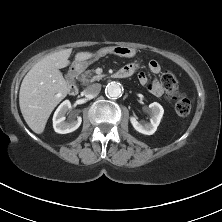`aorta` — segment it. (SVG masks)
<instances>
[{"label": "aorta", "mask_w": 222, "mask_h": 222, "mask_svg": "<svg viewBox=\"0 0 222 222\" xmlns=\"http://www.w3.org/2000/svg\"><path fill=\"white\" fill-rule=\"evenodd\" d=\"M105 92L111 98H118L122 95V87L117 82H111L107 84Z\"/></svg>", "instance_id": "obj_1"}]
</instances>
